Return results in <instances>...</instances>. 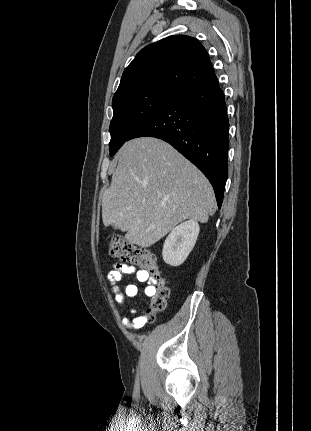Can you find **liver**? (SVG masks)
<instances>
[{
    "label": "liver",
    "mask_w": 311,
    "mask_h": 431,
    "mask_svg": "<svg viewBox=\"0 0 311 431\" xmlns=\"http://www.w3.org/2000/svg\"><path fill=\"white\" fill-rule=\"evenodd\" d=\"M118 156L103 194L102 219L126 231V241L150 247L183 219L208 221L215 206L213 188L172 146L157 138H136Z\"/></svg>",
    "instance_id": "liver-1"
}]
</instances>
